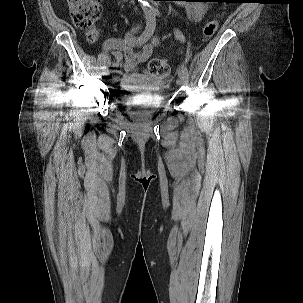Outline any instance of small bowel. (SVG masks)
Listing matches in <instances>:
<instances>
[{"instance_id": "1", "label": "small bowel", "mask_w": 303, "mask_h": 303, "mask_svg": "<svg viewBox=\"0 0 303 303\" xmlns=\"http://www.w3.org/2000/svg\"><path fill=\"white\" fill-rule=\"evenodd\" d=\"M195 2L183 4L191 21L199 22L204 18L206 6L201 0H184ZM158 38L153 36L148 44L139 43L133 32H129L124 38H109L103 44V52L112 53L117 65L124 68L126 76L123 82L127 85H138L146 89H156L160 82L146 69H140V65L146 62L152 55ZM138 47V51H133Z\"/></svg>"}]
</instances>
